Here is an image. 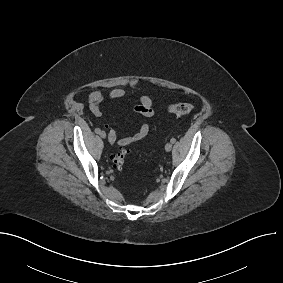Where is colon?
Masks as SVG:
<instances>
[{"mask_svg": "<svg viewBox=\"0 0 283 283\" xmlns=\"http://www.w3.org/2000/svg\"><path fill=\"white\" fill-rule=\"evenodd\" d=\"M193 107L188 103H173L167 107L169 113L176 116H184L191 113ZM128 151L122 149L112 157L113 167L116 171H121Z\"/></svg>", "mask_w": 283, "mask_h": 283, "instance_id": "1", "label": "colon"}]
</instances>
